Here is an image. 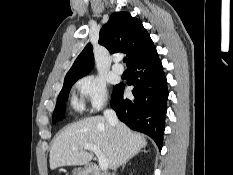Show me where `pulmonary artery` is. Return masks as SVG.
<instances>
[{"instance_id":"pulmonary-artery-1","label":"pulmonary artery","mask_w":233,"mask_h":175,"mask_svg":"<svg viewBox=\"0 0 233 175\" xmlns=\"http://www.w3.org/2000/svg\"><path fill=\"white\" fill-rule=\"evenodd\" d=\"M113 71L117 74H122L124 72V68L119 64L118 60H116L113 65Z\"/></svg>"}]
</instances>
